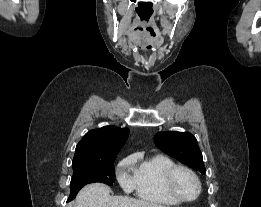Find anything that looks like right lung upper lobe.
<instances>
[{
	"mask_svg": "<svg viewBox=\"0 0 261 207\" xmlns=\"http://www.w3.org/2000/svg\"><path fill=\"white\" fill-rule=\"evenodd\" d=\"M128 135V128H118L112 125L90 130L76 146L73 165L108 161L116 157Z\"/></svg>",
	"mask_w": 261,
	"mask_h": 207,
	"instance_id": "right-lung-upper-lobe-1",
	"label": "right lung upper lobe"
}]
</instances>
